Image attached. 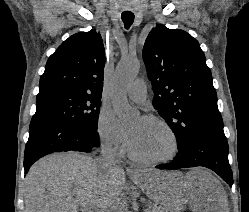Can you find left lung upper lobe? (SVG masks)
<instances>
[{"label":"left lung upper lobe","mask_w":249,"mask_h":212,"mask_svg":"<svg viewBox=\"0 0 249 212\" xmlns=\"http://www.w3.org/2000/svg\"><path fill=\"white\" fill-rule=\"evenodd\" d=\"M143 59L153 106L174 132L178 148L197 131L223 128L211 71L195 38L157 25L145 41Z\"/></svg>","instance_id":"5c2ea615"}]
</instances>
